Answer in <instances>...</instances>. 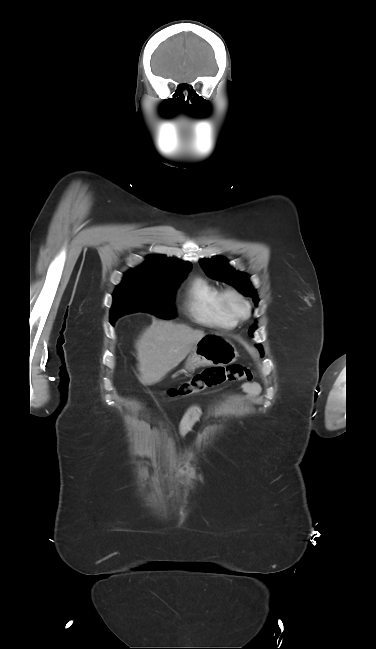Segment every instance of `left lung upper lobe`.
<instances>
[{
  "mask_svg": "<svg viewBox=\"0 0 376 649\" xmlns=\"http://www.w3.org/2000/svg\"><path fill=\"white\" fill-rule=\"evenodd\" d=\"M199 263L209 277L231 284L242 294L253 297V301L257 305L259 300L247 274L238 272L230 267L223 257L202 259ZM255 329V325L249 329L250 336H253Z\"/></svg>",
  "mask_w": 376,
  "mask_h": 649,
  "instance_id": "5c2ea615",
  "label": "left lung upper lobe"
}]
</instances>
